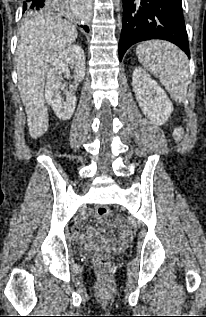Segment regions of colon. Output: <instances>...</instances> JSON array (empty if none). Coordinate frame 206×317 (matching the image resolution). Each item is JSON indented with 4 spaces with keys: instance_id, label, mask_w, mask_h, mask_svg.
Instances as JSON below:
<instances>
[{
    "instance_id": "obj_1",
    "label": "colon",
    "mask_w": 206,
    "mask_h": 317,
    "mask_svg": "<svg viewBox=\"0 0 206 317\" xmlns=\"http://www.w3.org/2000/svg\"><path fill=\"white\" fill-rule=\"evenodd\" d=\"M176 138L179 139L181 136V130H177ZM95 214L98 218L103 221L111 222L119 227L124 226V221L122 218L117 216H112L110 211L106 207H98L95 210ZM93 263L98 270L107 271L112 268L114 262L111 255L105 252H96L93 256Z\"/></svg>"
}]
</instances>
